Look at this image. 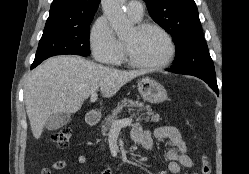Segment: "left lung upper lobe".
<instances>
[{
    "label": "left lung upper lobe",
    "instance_id": "5c2ea615",
    "mask_svg": "<svg viewBox=\"0 0 249 174\" xmlns=\"http://www.w3.org/2000/svg\"><path fill=\"white\" fill-rule=\"evenodd\" d=\"M145 2L151 18L173 37L176 52L172 68L180 73H215L194 0Z\"/></svg>",
    "mask_w": 249,
    "mask_h": 174
}]
</instances>
